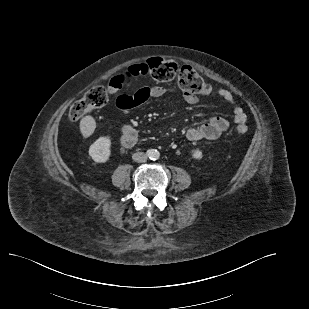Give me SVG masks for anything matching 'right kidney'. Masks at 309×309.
Wrapping results in <instances>:
<instances>
[{"instance_id": "right-kidney-1", "label": "right kidney", "mask_w": 309, "mask_h": 309, "mask_svg": "<svg viewBox=\"0 0 309 309\" xmlns=\"http://www.w3.org/2000/svg\"><path fill=\"white\" fill-rule=\"evenodd\" d=\"M111 140L108 137L98 138L89 148V156L96 163H105L111 155Z\"/></svg>"}]
</instances>
